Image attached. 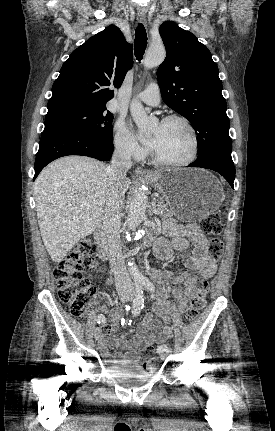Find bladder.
Instances as JSON below:
<instances>
[{"label": "bladder", "instance_id": "obj_1", "mask_svg": "<svg viewBox=\"0 0 275 431\" xmlns=\"http://www.w3.org/2000/svg\"><path fill=\"white\" fill-rule=\"evenodd\" d=\"M121 362L105 361L108 374L117 383L121 384L131 379L148 380L153 375V373L138 364Z\"/></svg>", "mask_w": 275, "mask_h": 431}]
</instances>
